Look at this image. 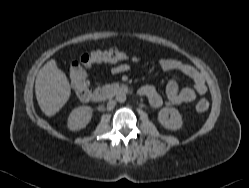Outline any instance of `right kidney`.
I'll use <instances>...</instances> for the list:
<instances>
[{
  "mask_svg": "<svg viewBox=\"0 0 249 188\" xmlns=\"http://www.w3.org/2000/svg\"><path fill=\"white\" fill-rule=\"evenodd\" d=\"M92 108L80 106L72 110L68 117V128L72 131L85 128L92 118Z\"/></svg>",
  "mask_w": 249,
  "mask_h": 188,
  "instance_id": "right-kidney-1",
  "label": "right kidney"
}]
</instances>
